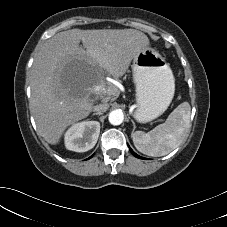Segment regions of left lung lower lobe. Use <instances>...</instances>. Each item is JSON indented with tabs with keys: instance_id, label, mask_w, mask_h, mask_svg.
<instances>
[{
	"instance_id": "0a47b994",
	"label": "left lung lower lobe",
	"mask_w": 227,
	"mask_h": 227,
	"mask_svg": "<svg viewBox=\"0 0 227 227\" xmlns=\"http://www.w3.org/2000/svg\"><path fill=\"white\" fill-rule=\"evenodd\" d=\"M128 147H129V150L131 151V153H132L135 157L140 158V159H144V158H142L141 156L137 155V154L130 148L129 145H128Z\"/></svg>"
}]
</instances>
